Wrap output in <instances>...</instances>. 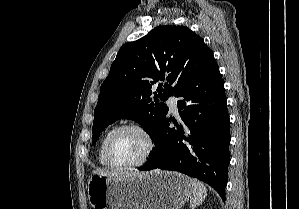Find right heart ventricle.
<instances>
[{
    "instance_id": "e07e8e85",
    "label": "right heart ventricle",
    "mask_w": 299,
    "mask_h": 209,
    "mask_svg": "<svg viewBox=\"0 0 299 209\" xmlns=\"http://www.w3.org/2000/svg\"><path fill=\"white\" fill-rule=\"evenodd\" d=\"M117 128V126H111L106 130V132L103 134L101 141L99 143L98 147V161L101 165L107 166L106 161H105V146L107 143V140L111 133Z\"/></svg>"
}]
</instances>
